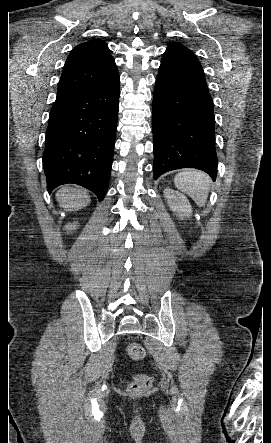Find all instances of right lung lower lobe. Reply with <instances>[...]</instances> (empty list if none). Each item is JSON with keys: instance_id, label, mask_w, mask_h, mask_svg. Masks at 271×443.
I'll use <instances>...</instances> for the list:
<instances>
[{"instance_id": "obj_1", "label": "right lung lower lobe", "mask_w": 271, "mask_h": 443, "mask_svg": "<svg viewBox=\"0 0 271 443\" xmlns=\"http://www.w3.org/2000/svg\"><path fill=\"white\" fill-rule=\"evenodd\" d=\"M119 81L57 94L43 154L49 193L59 185L74 183L103 200L113 159Z\"/></svg>"}]
</instances>
